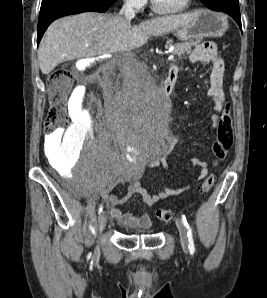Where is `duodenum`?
<instances>
[{
	"mask_svg": "<svg viewBox=\"0 0 267 298\" xmlns=\"http://www.w3.org/2000/svg\"><path fill=\"white\" fill-rule=\"evenodd\" d=\"M176 79H177V70L173 66H171L168 71V75L162 84V91H159V93H164L166 98L169 95V93L172 91L175 85Z\"/></svg>",
	"mask_w": 267,
	"mask_h": 298,
	"instance_id": "duodenum-1",
	"label": "duodenum"
}]
</instances>
